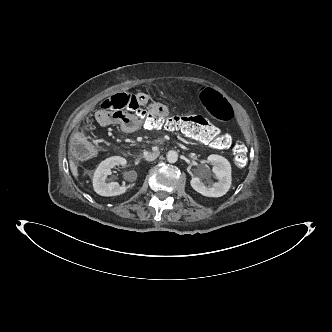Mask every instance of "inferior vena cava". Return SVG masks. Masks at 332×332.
Instances as JSON below:
<instances>
[{
    "label": "inferior vena cava",
    "instance_id": "602c4592",
    "mask_svg": "<svg viewBox=\"0 0 332 332\" xmlns=\"http://www.w3.org/2000/svg\"><path fill=\"white\" fill-rule=\"evenodd\" d=\"M159 153L158 152H149L145 155V159L147 161H153L158 157Z\"/></svg>",
    "mask_w": 332,
    "mask_h": 332
}]
</instances>
